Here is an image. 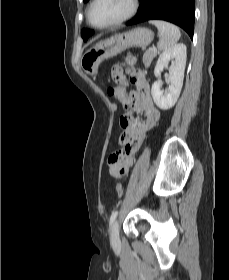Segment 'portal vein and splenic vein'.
<instances>
[{
    "mask_svg": "<svg viewBox=\"0 0 229 280\" xmlns=\"http://www.w3.org/2000/svg\"><path fill=\"white\" fill-rule=\"evenodd\" d=\"M151 50H152V51H156L157 49H156V47L153 46V47L151 48Z\"/></svg>",
    "mask_w": 229,
    "mask_h": 280,
    "instance_id": "1",
    "label": "portal vein and splenic vein"
}]
</instances>
